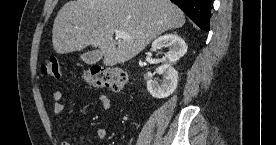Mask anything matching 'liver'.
Listing matches in <instances>:
<instances>
[{"label": "liver", "instance_id": "obj_1", "mask_svg": "<svg viewBox=\"0 0 276 145\" xmlns=\"http://www.w3.org/2000/svg\"><path fill=\"white\" fill-rule=\"evenodd\" d=\"M184 23V13L170 0H70L54 20L52 43L59 54L98 47L104 65L114 66L132 59L156 37ZM115 30L131 38L115 41Z\"/></svg>", "mask_w": 276, "mask_h": 145}]
</instances>
